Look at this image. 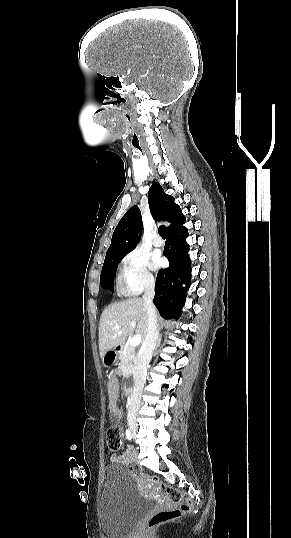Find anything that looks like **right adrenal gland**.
<instances>
[{
	"label": "right adrenal gland",
	"mask_w": 291,
	"mask_h": 538,
	"mask_svg": "<svg viewBox=\"0 0 291 538\" xmlns=\"http://www.w3.org/2000/svg\"><path fill=\"white\" fill-rule=\"evenodd\" d=\"M160 342H161V336H160V338L158 340V346L160 345Z\"/></svg>",
	"instance_id": "1"
}]
</instances>
